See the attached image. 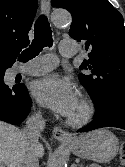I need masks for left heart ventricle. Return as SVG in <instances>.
I'll return each instance as SVG.
<instances>
[{
	"instance_id": "b2bd125f",
	"label": "left heart ventricle",
	"mask_w": 125,
	"mask_h": 167,
	"mask_svg": "<svg viewBox=\"0 0 125 167\" xmlns=\"http://www.w3.org/2000/svg\"><path fill=\"white\" fill-rule=\"evenodd\" d=\"M80 113H81V106H80V102L78 101L76 107L74 108V110L72 111V113L69 116L77 117L80 115Z\"/></svg>"
}]
</instances>
